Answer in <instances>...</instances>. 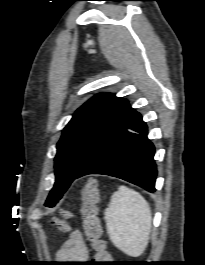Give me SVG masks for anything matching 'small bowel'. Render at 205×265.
Segmentation results:
<instances>
[{
    "label": "small bowel",
    "mask_w": 205,
    "mask_h": 265,
    "mask_svg": "<svg viewBox=\"0 0 205 265\" xmlns=\"http://www.w3.org/2000/svg\"><path fill=\"white\" fill-rule=\"evenodd\" d=\"M58 261H73V263H85L89 258V250L82 233L73 231L56 254Z\"/></svg>",
    "instance_id": "c3829d8e"
}]
</instances>
